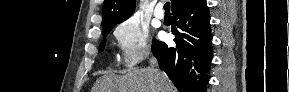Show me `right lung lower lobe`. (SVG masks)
Listing matches in <instances>:
<instances>
[{"label": "right lung lower lobe", "instance_id": "98d812e1", "mask_svg": "<svg viewBox=\"0 0 289 92\" xmlns=\"http://www.w3.org/2000/svg\"><path fill=\"white\" fill-rule=\"evenodd\" d=\"M176 47L156 39L152 52L179 92H205L212 59L210 14L206 0L172 12Z\"/></svg>", "mask_w": 289, "mask_h": 92}]
</instances>
